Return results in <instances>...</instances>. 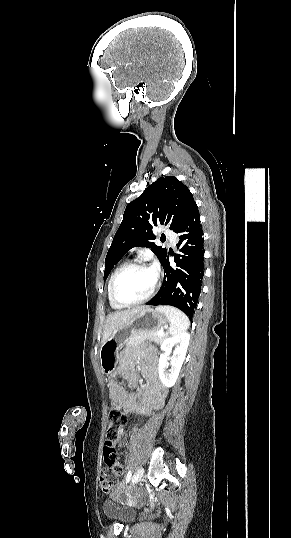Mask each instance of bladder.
<instances>
[{
  "label": "bladder",
  "mask_w": 291,
  "mask_h": 538,
  "mask_svg": "<svg viewBox=\"0 0 291 538\" xmlns=\"http://www.w3.org/2000/svg\"><path fill=\"white\" fill-rule=\"evenodd\" d=\"M104 510L108 516L123 523L128 522L134 515V512L130 509H119L113 500L105 502Z\"/></svg>",
  "instance_id": "obj_1"
}]
</instances>
